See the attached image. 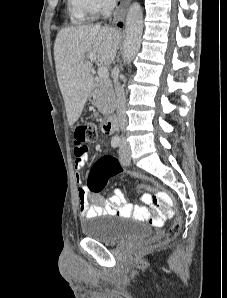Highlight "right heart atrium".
Masks as SVG:
<instances>
[{"label": "right heart atrium", "instance_id": "1", "mask_svg": "<svg viewBox=\"0 0 227 298\" xmlns=\"http://www.w3.org/2000/svg\"><path fill=\"white\" fill-rule=\"evenodd\" d=\"M74 7L85 15L96 16L109 10L114 0H70Z\"/></svg>", "mask_w": 227, "mask_h": 298}]
</instances>
